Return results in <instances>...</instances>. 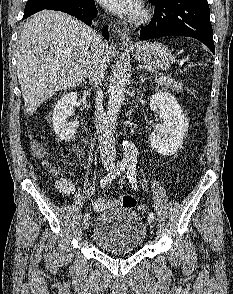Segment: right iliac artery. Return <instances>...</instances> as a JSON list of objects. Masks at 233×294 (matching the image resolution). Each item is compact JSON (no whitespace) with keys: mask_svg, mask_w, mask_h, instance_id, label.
<instances>
[{"mask_svg":"<svg viewBox=\"0 0 233 294\" xmlns=\"http://www.w3.org/2000/svg\"><path fill=\"white\" fill-rule=\"evenodd\" d=\"M126 167H127L126 162L122 161L119 164H117L116 167L101 180L100 186L105 187L108 184H110L116 178L117 175H119L121 172L125 170ZM89 217L90 215L88 213L84 215L85 219H89Z\"/></svg>","mask_w":233,"mask_h":294,"instance_id":"1","label":"right iliac artery"}]
</instances>
